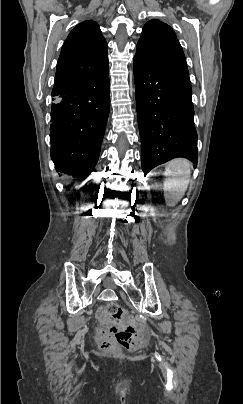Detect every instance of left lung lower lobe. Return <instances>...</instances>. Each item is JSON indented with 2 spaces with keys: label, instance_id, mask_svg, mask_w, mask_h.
I'll return each mask as SVG.
<instances>
[{
  "label": "left lung lower lobe",
  "instance_id": "obj_1",
  "mask_svg": "<svg viewBox=\"0 0 243 404\" xmlns=\"http://www.w3.org/2000/svg\"><path fill=\"white\" fill-rule=\"evenodd\" d=\"M133 63L143 172L176 157H185L196 167L189 75L161 70L135 57Z\"/></svg>",
  "mask_w": 243,
  "mask_h": 404
}]
</instances>
